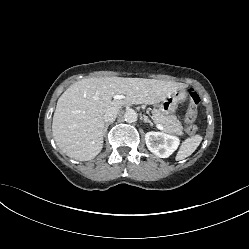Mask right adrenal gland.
<instances>
[{
	"instance_id": "right-adrenal-gland-1",
	"label": "right adrenal gland",
	"mask_w": 249,
	"mask_h": 249,
	"mask_svg": "<svg viewBox=\"0 0 249 249\" xmlns=\"http://www.w3.org/2000/svg\"><path fill=\"white\" fill-rule=\"evenodd\" d=\"M111 124H112V122H109V123H106V124H105V127H104V134H106L107 129H108L109 125H111Z\"/></svg>"
}]
</instances>
